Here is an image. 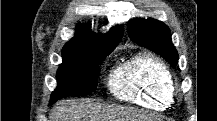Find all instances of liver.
<instances>
[{
	"label": "liver",
	"instance_id": "obj_1",
	"mask_svg": "<svg viewBox=\"0 0 217 121\" xmlns=\"http://www.w3.org/2000/svg\"><path fill=\"white\" fill-rule=\"evenodd\" d=\"M50 121H129L134 119L127 110L81 101L62 100L52 109Z\"/></svg>",
	"mask_w": 217,
	"mask_h": 121
}]
</instances>
